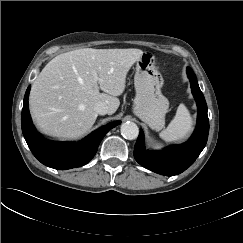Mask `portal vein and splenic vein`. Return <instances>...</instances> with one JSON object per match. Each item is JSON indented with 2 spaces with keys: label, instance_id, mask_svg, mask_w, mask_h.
I'll use <instances>...</instances> for the list:
<instances>
[{
  "label": "portal vein and splenic vein",
  "instance_id": "18ae733b",
  "mask_svg": "<svg viewBox=\"0 0 243 243\" xmlns=\"http://www.w3.org/2000/svg\"><path fill=\"white\" fill-rule=\"evenodd\" d=\"M94 77H95V80L97 81L98 80V77H97V74L96 73L94 74Z\"/></svg>",
  "mask_w": 243,
  "mask_h": 243
}]
</instances>
